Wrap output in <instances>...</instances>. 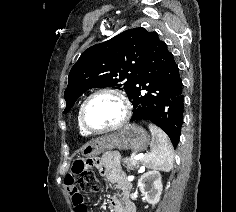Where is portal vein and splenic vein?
Returning a JSON list of instances; mask_svg holds the SVG:
<instances>
[{"label": "portal vein and splenic vein", "instance_id": "obj_1", "mask_svg": "<svg viewBox=\"0 0 236 212\" xmlns=\"http://www.w3.org/2000/svg\"><path fill=\"white\" fill-rule=\"evenodd\" d=\"M143 157V154H136V153H133L131 158L134 159V160H139Z\"/></svg>", "mask_w": 236, "mask_h": 212}]
</instances>
